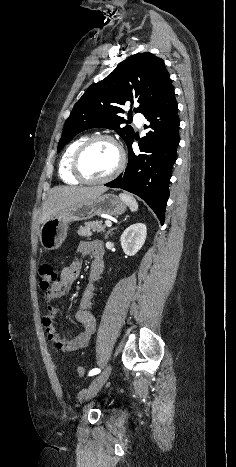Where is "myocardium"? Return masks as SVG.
I'll return each instance as SVG.
<instances>
[{
    "label": "myocardium",
    "mask_w": 236,
    "mask_h": 467,
    "mask_svg": "<svg viewBox=\"0 0 236 467\" xmlns=\"http://www.w3.org/2000/svg\"><path fill=\"white\" fill-rule=\"evenodd\" d=\"M100 140H107L111 142L117 152H118V163L115 169L108 174L107 176L103 178H98V179H93L89 178L85 175V173L82 170V158L83 155L85 154L86 150L95 142L100 141ZM126 163V156L125 152L120 145V143L111 135L108 134H97L92 137L87 138L75 151L72 162H71V172L75 178H77L79 181L87 184H101V183H106L109 182L113 179H115L120 173L123 171Z\"/></svg>",
    "instance_id": "obj_1"
}]
</instances>
